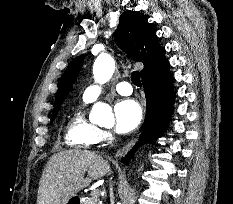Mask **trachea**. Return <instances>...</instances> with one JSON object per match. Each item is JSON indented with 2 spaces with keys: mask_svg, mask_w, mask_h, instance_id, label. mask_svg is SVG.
<instances>
[{
  "mask_svg": "<svg viewBox=\"0 0 233 204\" xmlns=\"http://www.w3.org/2000/svg\"><path fill=\"white\" fill-rule=\"evenodd\" d=\"M131 81L134 85L141 87L140 73L139 71H133L131 73Z\"/></svg>",
  "mask_w": 233,
  "mask_h": 204,
  "instance_id": "1",
  "label": "trachea"
}]
</instances>
